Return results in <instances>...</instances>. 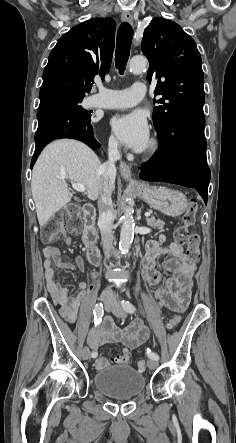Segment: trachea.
Wrapping results in <instances>:
<instances>
[{"label":"trachea","instance_id":"3493384b","mask_svg":"<svg viewBox=\"0 0 236 443\" xmlns=\"http://www.w3.org/2000/svg\"><path fill=\"white\" fill-rule=\"evenodd\" d=\"M133 29L131 25L124 22L117 31L115 65L120 74H123L130 55Z\"/></svg>","mask_w":236,"mask_h":443}]
</instances>
